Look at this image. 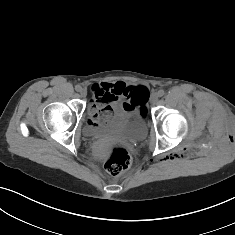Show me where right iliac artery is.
<instances>
[{"label":"right iliac artery","mask_w":235,"mask_h":235,"mask_svg":"<svg viewBox=\"0 0 235 235\" xmlns=\"http://www.w3.org/2000/svg\"><path fill=\"white\" fill-rule=\"evenodd\" d=\"M81 89H82V88H81V86H80V85H76V86H75V90H76V91H78V92H79Z\"/></svg>","instance_id":"obj_1"}]
</instances>
